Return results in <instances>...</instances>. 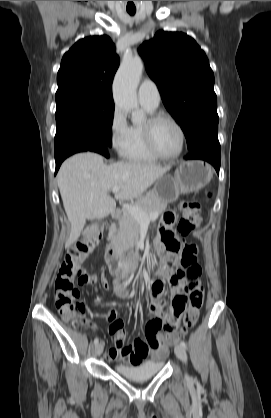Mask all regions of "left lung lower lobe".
<instances>
[{
	"instance_id": "0a47b994",
	"label": "left lung lower lobe",
	"mask_w": 271,
	"mask_h": 418,
	"mask_svg": "<svg viewBox=\"0 0 271 418\" xmlns=\"http://www.w3.org/2000/svg\"><path fill=\"white\" fill-rule=\"evenodd\" d=\"M185 159H202L211 163L219 173L221 163V149L218 139L204 141L198 144Z\"/></svg>"
}]
</instances>
